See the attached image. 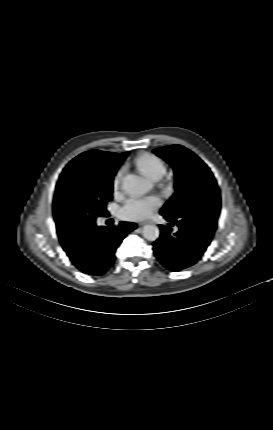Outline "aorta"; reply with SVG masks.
<instances>
[{
  "label": "aorta",
  "instance_id": "aorta-1",
  "mask_svg": "<svg viewBox=\"0 0 273 430\" xmlns=\"http://www.w3.org/2000/svg\"><path fill=\"white\" fill-rule=\"evenodd\" d=\"M152 182L142 176L129 174L124 178L123 187L132 196H142L152 188ZM142 234L148 241H155L159 238V228L155 225H145Z\"/></svg>",
  "mask_w": 273,
  "mask_h": 430
}]
</instances>
